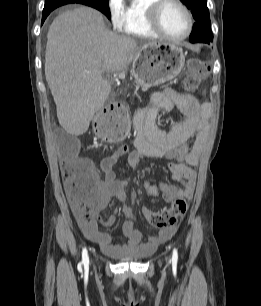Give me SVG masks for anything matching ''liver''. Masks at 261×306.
<instances>
[{"label":"liver","mask_w":261,"mask_h":306,"mask_svg":"<svg viewBox=\"0 0 261 306\" xmlns=\"http://www.w3.org/2000/svg\"><path fill=\"white\" fill-rule=\"evenodd\" d=\"M156 44L111 32L90 7L56 17L47 34L45 76L60 125L72 135L84 134L111 92L103 74L122 71Z\"/></svg>","instance_id":"liver-1"}]
</instances>
